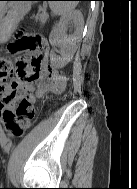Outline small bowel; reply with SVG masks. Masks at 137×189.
Segmentation results:
<instances>
[{
	"instance_id": "small-bowel-1",
	"label": "small bowel",
	"mask_w": 137,
	"mask_h": 189,
	"mask_svg": "<svg viewBox=\"0 0 137 189\" xmlns=\"http://www.w3.org/2000/svg\"><path fill=\"white\" fill-rule=\"evenodd\" d=\"M46 67L43 66V70ZM52 70V76L37 86H33L20 77L16 78L7 87L5 94L0 97V117L10 135H21L23 130L30 126L33 117L31 114L22 118L17 117L16 111L21 101L27 100L33 105L37 98L48 90L58 91L65 86V78L55 68Z\"/></svg>"
}]
</instances>
